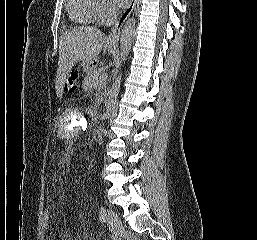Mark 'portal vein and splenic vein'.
Instances as JSON below:
<instances>
[{"instance_id": "1", "label": "portal vein and splenic vein", "mask_w": 257, "mask_h": 240, "mask_svg": "<svg viewBox=\"0 0 257 240\" xmlns=\"http://www.w3.org/2000/svg\"><path fill=\"white\" fill-rule=\"evenodd\" d=\"M105 79H106V75H103V76L101 77V79H100V82L103 83V82L105 81Z\"/></svg>"}]
</instances>
